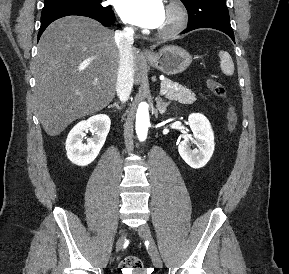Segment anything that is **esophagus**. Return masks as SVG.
Instances as JSON below:
<instances>
[{
	"instance_id": "esophagus-1",
	"label": "esophagus",
	"mask_w": 289,
	"mask_h": 274,
	"mask_svg": "<svg viewBox=\"0 0 289 274\" xmlns=\"http://www.w3.org/2000/svg\"><path fill=\"white\" fill-rule=\"evenodd\" d=\"M142 53L145 56H150L152 54L151 51L149 49H147V48H143Z\"/></svg>"
}]
</instances>
